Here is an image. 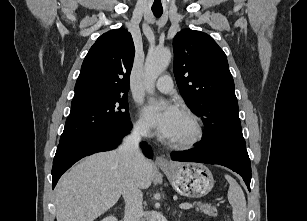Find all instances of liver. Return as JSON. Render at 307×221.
Instances as JSON below:
<instances>
[{
    "label": "liver",
    "instance_id": "1",
    "mask_svg": "<svg viewBox=\"0 0 307 221\" xmlns=\"http://www.w3.org/2000/svg\"><path fill=\"white\" fill-rule=\"evenodd\" d=\"M154 168L146 159V164L135 170L140 188L151 185ZM125 173V159L119 149L86 157L56 186L57 221H94L119 200Z\"/></svg>",
    "mask_w": 307,
    "mask_h": 221
}]
</instances>
